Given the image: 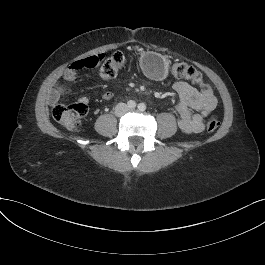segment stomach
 <instances>
[{
  "label": "stomach",
  "mask_w": 265,
  "mask_h": 265,
  "mask_svg": "<svg viewBox=\"0 0 265 265\" xmlns=\"http://www.w3.org/2000/svg\"><path fill=\"white\" fill-rule=\"evenodd\" d=\"M142 71L151 79L163 80L168 75V60L155 52H145L140 57Z\"/></svg>",
  "instance_id": "obj_1"
}]
</instances>
